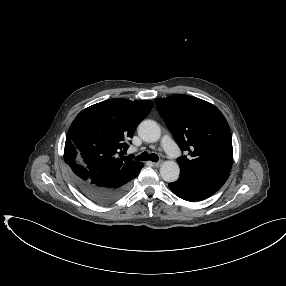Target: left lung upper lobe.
<instances>
[{
  "mask_svg": "<svg viewBox=\"0 0 286 286\" xmlns=\"http://www.w3.org/2000/svg\"><path fill=\"white\" fill-rule=\"evenodd\" d=\"M155 103L181 150L189 153L177 159L180 171L223 185L233 162L231 131L223 114L188 95L158 98Z\"/></svg>",
  "mask_w": 286,
  "mask_h": 286,
  "instance_id": "left-lung-upper-lobe-1",
  "label": "left lung upper lobe"
}]
</instances>
